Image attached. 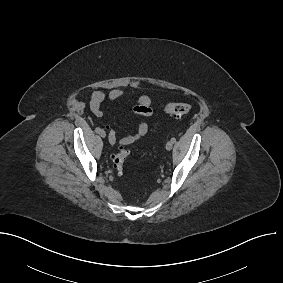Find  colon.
<instances>
[{"label": "colon", "mask_w": 283, "mask_h": 283, "mask_svg": "<svg viewBox=\"0 0 283 283\" xmlns=\"http://www.w3.org/2000/svg\"><path fill=\"white\" fill-rule=\"evenodd\" d=\"M163 110L170 115L183 116L190 112L191 106L187 103L170 102L164 106ZM129 156L130 150L126 148L120 149L112 156V167L116 173L122 174L125 162Z\"/></svg>", "instance_id": "obj_1"}]
</instances>
